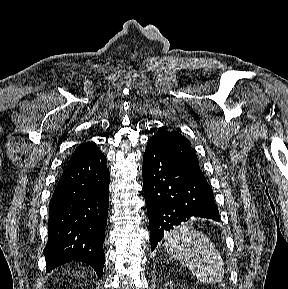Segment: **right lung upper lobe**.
I'll return each mask as SVG.
<instances>
[{"instance_id": "cb5924a9", "label": "right lung upper lobe", "mask_w": 288, "mask_h": 289, "mask_svg": "<svg viewBox=\"0 0 288 289\" xmlns=\"http://www.w3.org/2000/svg\"><path fill=\"white\" fill-rule=\"evenodd\" d=\"M97 152H99V150L97 149V146L95 143L86 142L80 145V147L74 151L70 161H73V160H76V159H79V158H82V157H85V156H88Z\"/></svg>"}]
</instances>
